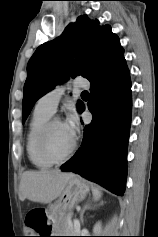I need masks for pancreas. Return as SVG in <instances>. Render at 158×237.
<instances>
[{
	"instance_id": "pancreas-1",
	"label": "pancreas",
	"mask_w": 158,
	"mask_h": 237,
	"mask_svg": "<svg viewBox=\"0 0 158 237\" xmlns=\"http://www.w3.org/2000/svg\"><path fill=\"white\" fill-rule=\"evenodd\" d=\"M52 232L57 233L59 235L76 236L79 233V228L73 226L71 221V215H67L65 217H62L58 221V223L54 226Z\"/></svg>"
}]
</instances>
